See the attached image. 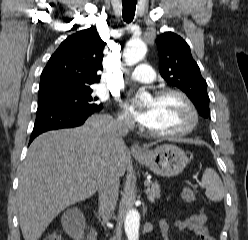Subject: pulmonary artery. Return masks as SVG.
<instances>
[{
  "label": "pulmonary artery",
  "mask_w": 248,
  "mask_h": 240,
  "mask_svg": "<svg viewBox=\"0 0 248 240\" xmlns=\"http://www.w3.org/2000/svg\"><path fill=\"white\" fill-rule=\"evenodd\" d=\"M129 77L138 82L151 83L155 74L148 64H139L130 74Z\"/></svg>",
  "instance_id": "e3ab8cb5"
}]
</instances>
